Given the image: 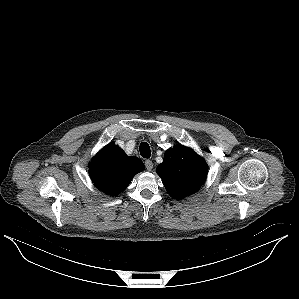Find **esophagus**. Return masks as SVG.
Masks as SVG:
<instances>
[{
  "label": "esophagus",
  "mask_w": 299,
  "mask_h": 299,
  "mask_svg": "<svg viewBox=\"0 0 299 299\" xmlns=\"http://www.w3.org/2000/svg\"><path fill=\"white\" fill-rule=\"evenodd\" d=\"M145 167H146V169H147L148 171H151L152 168H153V163H152V161H151V160H146V161H145Z\"/></svg>",
  "instance_id": "obj_1"
}]
</instances>
